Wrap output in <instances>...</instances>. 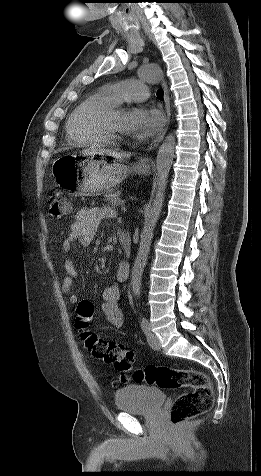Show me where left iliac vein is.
Here are the masks:
<instances>
[{
    "label": "left iliac vein",
    "mask_w": 261,
    "mask_h": 476,
    "mask_svg": "<svg viewBox=\"0 0 261 476\" xmlns=\"http://www.w3.org/2000/svg\"><path fill=\"white\" fill-rule=\"evenodd\" d=\"M146 335H147V341H148V344L150 345V347L154 350H159L161 348L160 340H159L158 336L155 335L151 331L150 325H149V328H148V331H147Z\"/></svg>",
    "instance_id": "4c4485c4"
}]
</instances>
